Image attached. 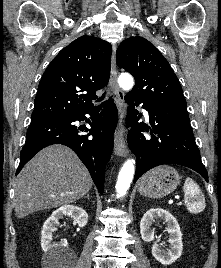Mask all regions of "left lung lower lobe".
<instances>
[{
    "label": "left lung lower lobe",
    "instance_id": "0a47b994",
    "mask_svg": "<svg viewBox=\"0 0 221 268\" xmlns=\"http://www.w3.org/2000/svg\"><path fill=\"white\" fill-rule=\"evenodd\" d=\"M125 101L129 105L126 124L132 126L127 136L128 146L137 158L134 182L151 168L163 164L189 167L208 182L186 109L147 104L128 95ZM140 103L149 113L152 129L138 122L135 106ZM144 131L150 134H142Z\"/></svg>",
    "mask_w": 221,
    "mask_h": 268
}]
</instances>
